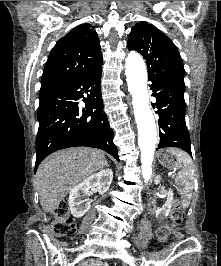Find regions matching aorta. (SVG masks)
<instances>
[{
  "label": "aorta",
  "instance_id": "1",
  "mask_svg": "<svg viewBox=\"0 0 221 266\" xmlns=\"http://www.w3.org/2000/svg\"><path fill=\"white\" fill-rule=\"evenodd\" d=\"M128 91L138 128V146L141 152L142 175L145 181L152 176V163L156 147V123L148 104L147 71L142 57L130 52L125 60Z\"/></svg>",
  "mask_w": 221,
  "mask_h": 266
}]
</instances>
